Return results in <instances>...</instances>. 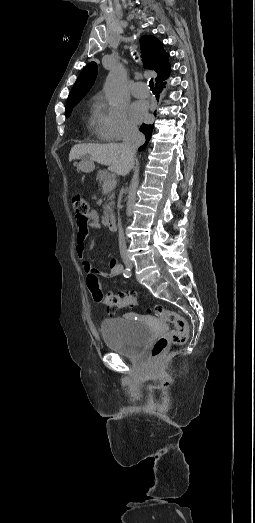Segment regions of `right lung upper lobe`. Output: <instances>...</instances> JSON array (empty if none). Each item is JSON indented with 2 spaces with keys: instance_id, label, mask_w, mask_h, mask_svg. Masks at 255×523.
Returning a JSON list of instances; mask_svg holds the SVG:
<instances>
[{
  "instance_id": "cb5924a9",
  "label": "right lung upper lobe",
  "mask_w": 255,
  "mask_h": 523,
  "mask_svg": "<svg viewBox=\"0 0 255 523\" xmlns=\"http://www.w3.org/2000/svg\"><path fill=\"white\" fill-rule=\"evenodd\" d=\"M141 45V57L143 60V66L146 69L155 71L158 76L156 77V90L159 93L164 87L163 80L169 76L171 66L168 62L169 54L163 49V44L154 36L144 35L140 38ZM97 76V65L95 62L89 63L83 71L80 73L76 80L67 102H79L92 87L95 78ZM158 99V96H157ZM154 125L143 124L140 127V131L145 135V145L139 149L143 150L148 144Z\"/></svg>"
}]
</instances>
